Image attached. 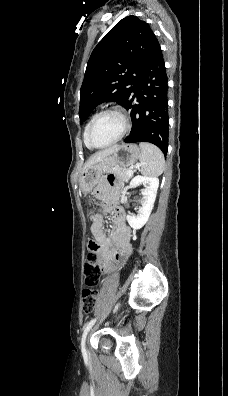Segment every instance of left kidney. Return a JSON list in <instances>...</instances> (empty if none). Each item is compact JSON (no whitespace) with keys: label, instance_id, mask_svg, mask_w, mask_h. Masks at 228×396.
<instances>
[{"label":"left kidney","instance_id":"obj_1","mask_svg":"<svg viewBox=\"0 0 228 396\" xmlns=\"http://www.w3.org/2000/svg\"><path fill=\"white\" fill-rule=\"evenodd\" d=\"M144 185V189L141 190L143 195L141 201V207L138 210L137 215H127V221L133 229L142 228L151 214L156 199L157 189L159 187V179L156 177L148 176H136L131 182L130 186L132 188Z\"/></svg>","mask_w":228,"mask_h":396}]
</instances>
